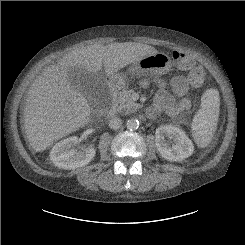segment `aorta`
Wrapping results in <instances>:
<instances>
[{"instance_id":"1","label":"aorta","mask_w":245,"mask_h":245,"mask_svg":"<svg viewBox=\"0 0 245 245\" xmlns=\"http://www.w3.org/2000/svg\"><path fill=\"white\" fill-rule=\"evenodd\" d=\"M126 127L129 130H136L139 127V121L137 119L130 118L126 122Z\"/></svg>"}]
</instances>
